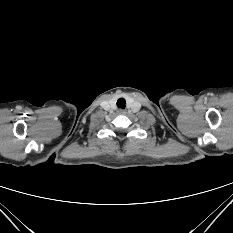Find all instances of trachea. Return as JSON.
Returning <instances> with one entry per match:
<instances>
[{
  "label": "trachea",
  "instance_id": "trachea-1",
  "mask_svg": "<svg viewBox=\"0 0 233 233\" xmlns=\"http://www.w3.org/2000/svg\"><path fill=\"white\" fill-rule=\"evenodd\" d=\"M126 106V101L124 98H120L118 101H117V107L118 108H121V109H124Z\"/></svg>",
  "mask_w": 233,
  "mask_h": 233
}]
</instances>
